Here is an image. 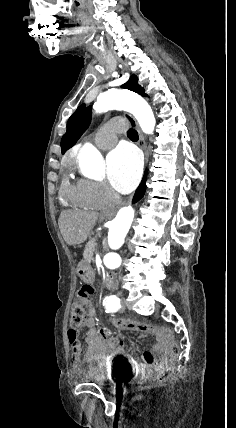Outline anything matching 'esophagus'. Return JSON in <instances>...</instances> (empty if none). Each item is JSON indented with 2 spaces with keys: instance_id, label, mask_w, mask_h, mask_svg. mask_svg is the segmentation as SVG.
Wrapping results in <instances>:
<instances>
[{
  "instance_id": "obj_1",
  "label": "esophagus",
  "mask_w": 236,
  "mask_h": 428,
  "mask_svg": "<svg viewBox=\"0 0 236 428\" xmlns=\"http://www.w3.org/2000/svg\"><path fill=\"white\" fill-rule=\"evenodd\" d=\"M124 116L127 119V121L129 122V124L133 128H135V130L137 131L138 136H139L138 144L141 145V146H143L146 149L147 147H146L144 136H143V134H142V132H141V130H140V128H139L136 120L130 114H128V113L124 114Z\"/></svg>"
}]
</instances>
